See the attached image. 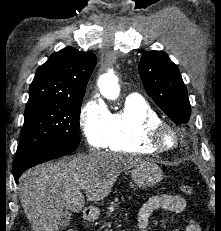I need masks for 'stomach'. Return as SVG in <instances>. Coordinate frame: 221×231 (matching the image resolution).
<instances>
[{"instance_id":"stomach-1","label":"stomach","mask_w":221,"mask_h":231,"mask_svg":"<svg viewBox=\"0 0 221 231\" xmlns=\"http://www.w3.org/2000/svg\"><path fill=\"white\" fill-rule=\"evenodd\" d=\"M132 180L140 187H151L158 184L163 179V172L160 167L150 161H142L136 164L131 171ZM100 210L92 209L90 218H99Z\"/></svg>"}]
</instances>
